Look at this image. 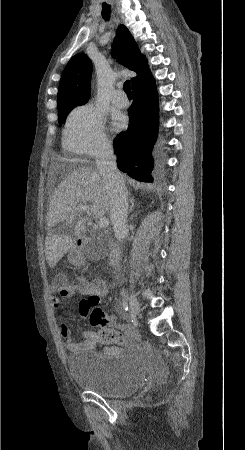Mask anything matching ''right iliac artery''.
<instances>
[{
	"label": "right iliac artery",
	"instance_id": "82829eb1",
	"mask_svg": "<svg viewBox=\"0 0 245 450\" xmlns=\"http://www.w3.org/2000/svg\"><path fill=\"white\" fill-rule=\"evenodd\" d=\"M122 305H123V309L127 312L129 310L127 302L123 301Z\"/></svg>",
	"mask_w": 245,
	"mask_h": 450
}]
</instances>
